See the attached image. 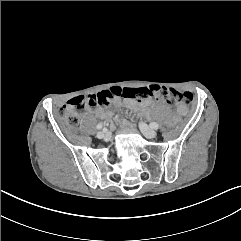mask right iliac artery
Segmentation results:
<instances>
[{
  "label": "right iliac artery",
  "mask_w": 241,
  "mask_h": 241,
  "mask_svg": "<svg viewBox=\"0 0 241 241\" xmlns=\"http://www.w3.org/2000/svg\"><path fill=\"white\" fill-rule=\"evenodd\" d=\"M102 127H103V124H102V123H99L96 128H97L98 130H100V129H102Z\"/></svg>",
  "instance_id": "right-iliac-artery-1"
}]
</instances>
